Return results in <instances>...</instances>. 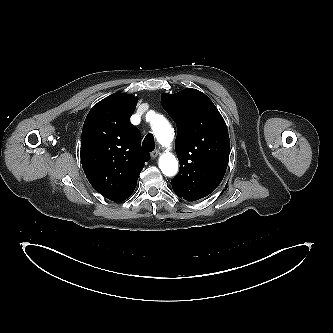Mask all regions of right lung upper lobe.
<instances>
[{
    "label": "right lung upper lobe",
    "instance_id": "obj_1",
    "mask_svg": "<svg viewBox=\"0 0 333 333\" xmlns=\"http://www.w3.org/2000/svg\"><path fill=\"white\" fill-rule=\"evenodd\" d=\"M138 98L114 93L93 106L81 136V163L90 184L114 202L134 191L149 154L141 148L137 128L130 117Z\"/></svg>",
    "mask_w": 333,
    "mask_h": 333
}]
</instances>
